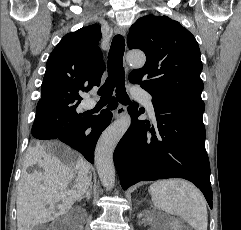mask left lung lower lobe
<instances>
[{
	"label": "left lung lower lobe",
	"mask_w": 241,
	"mask_h": 230,
	"mask_svg": "<svg viewBox=\"0 0 241 230\" xmlns=\"http://www.w3.org/2000/svg\"><path fill=\"white\" fill-rule=\"evenodd\" d=\"M152 103L157 125L133 121L114 151L122 188L139 181L184 178L203 192L212 208L203 114L161 100L152 99ZM137 107L133 103L128 108L133 118L140 115Z\"/></svg>",
	"instance_id": "obj_1"
}]
</instances>
